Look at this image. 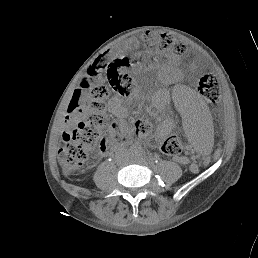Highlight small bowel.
<instances>
[{"mask_svg":"<svg viewBox=\"0 0 258 258\" xmlns=\"http://www.w3.org/2000/svg\"><path fill=\"white\" fill-rule=\"evenodd\" d=\"M137 44H138V43H137V40H136V39H131V40L128 42L126 48H127V49H133V48H135V47L137 46ZM178 160L181 161V162H187V161H188V159H187L186 157H180V158H178Z\"/></svg>","mask_w":258,"mask_h":258,"instance_id":"small-bowel-1","label":"small bowel"}]
</instances>
